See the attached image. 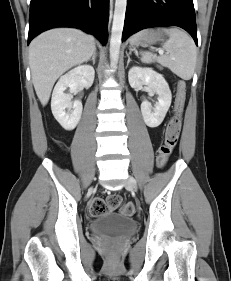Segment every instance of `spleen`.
I'll use <instances>...</instances> for the list:
<instances>
[{
    "instance_id": "spleen-1",
    "label": "spleen",
    "mask_w": 231,
    "mask_h": 281,
    "mask_svg": "<svg viewBox=\"0 0 231 281\" xmlns=\"http://www.w3.org/2000/svg\"><path fill=\"white\" fill-rule=\"evenodd\" d=\"M169 39L163 44L167 51L165 55L156 56L149 52H143L141 60L145 63L158 62L169 68L174 74L184 80H190L194 74L197 49L193 39L184 31L177 28L162 29ZM134 44V40H130Z\"/></svg>"
}]
</instances>
